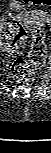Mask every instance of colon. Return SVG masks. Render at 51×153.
Here are the masks:
<instances>
[{
	"instance_id": "colon-1",
	"label": "colon",
	"mask_w": 51,
	"mask_h": 153,
	"mask_svg": "<svg viewBox=\"0 0 51 153\" xmlns=\"http://www.w3.org/2000/svg\"><path fill=\"white\" fill-rule=\"evenodd\" d=\"M27 5L46 6L51 5V0H23ZM1 47L5 51L14 52L22 48L26 41V31L23 26L14 19H5L1 23ZM30 64L18 58L11 65V74L19 83L29 82L46 62L47 47L45 33L38 28L34 31L32 44L29 50Z\"/></svg>"
}]
</instances>
